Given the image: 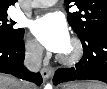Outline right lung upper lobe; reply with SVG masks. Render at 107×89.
Here are the masks:
<instances>
[{"mask_svg":"<svg viewBox=\"0 0 107 89\" xmlns=\"http://www.w3.org/2000/svg\"><path fill=\"white\" fill-rule=\"evenodd\" d=\"M14 2L15 0H0V14H5L8 7Z\"/></svg>","mask_w":107,"mask_h":89,"instance_id":"cb5924a9","label":"right lung upper lobe"}]
</instances>
